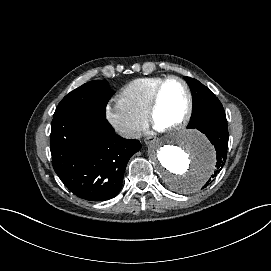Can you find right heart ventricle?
I'll return each mask as SVG.
<instances>
[{
	"mask_svg": "<svg viewBox=\"0 0 271 271\" xmlns=\"http://www.w3.org/2000/svg\"><path fill=\"white\" fill-rule=\"evenodd\" d=\"M166 76H145L128 82L120 91V98L134 113L147 118L152 93Z\"/></svg>",
	"mask_w": 271,
	"mask_h": 271,
	"instance_id": "obj_1",
	"label": "right heart ventricle"
}]
</instances>
